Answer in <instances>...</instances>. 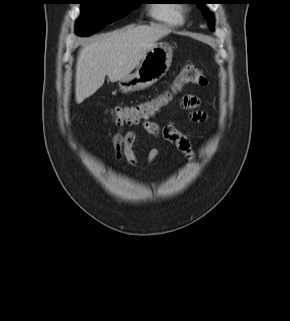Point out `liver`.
I'll return each instance as SVG.
<instances>
[{"instance_id": "6515ba94", "label": "liver", "mask_w": 290, "mask_h": 321, "mask_svg": "<svg viewBox=\"0 0 290 321\" xmlns=\"http://www.w3.org/2000/svg\"><path fill=\"white\" fill-rule=\"evenodd\" d=\"M170 30L160 25L126 27L84 44L78 54L75 75L76 102L82 103L104 83L128 76L155 43Z\"/></svg>"}]
</instances>
